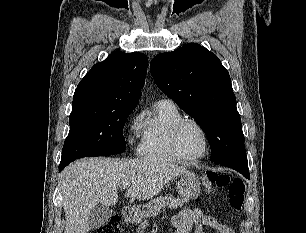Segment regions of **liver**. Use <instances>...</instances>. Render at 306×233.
<instances>
[{
  "label": "liver",
  "mask_w": 306,
  "mask_h": 233,
  "mask_svg": "<svg viewBox=\"0 0 306 233\" xmlns=\"http://www.w3.org/2000/svg\"><path fill=\"white\" fill-rule=\"evenodd\" d=\"M187 173L183 166L161 158H84L72 162L58 179L66 219L64 233L91 230V210L99 203L115 205L117 191L124 184H130L126 197L148 200L175 177Z\"/></svg>",
  "instance_id": "obj_1"
}]
</instances>
